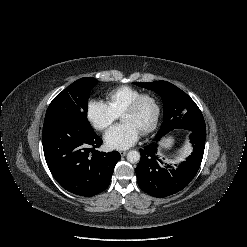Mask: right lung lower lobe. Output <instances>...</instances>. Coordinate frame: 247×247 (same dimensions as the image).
<instances>
[{
	"instance_id": "98d812e1",
	"label": "right lung lower lobe",
	"mask_w": 247,
	"mask_h": 247,
	"mask_svg": "<svg viewBox=\"0 0 247 247\" xmlns=\"http://www.w3.org/2000/svg\"><path fill=\"white\" fill-rule=\"evenodd\" d=\"M42 144L47 165L67 191L91 197L104 191L121 155L96 150L101 138L80 120L56 117L44 120Z\"/></svg>"
}]
</instances>
